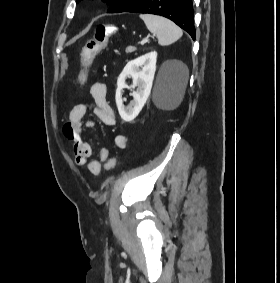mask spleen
I'll return each mask as SVG.
<instances>
[{"mask_svg":"<svg viewBox=\"0 0 280 283\" xmlns=\"http://www.w3.org/2000/svg\"><path fill=\"white\" fill-rule=\"evenodd\" d=\"M140 18L144 21L147 29L151 33L156 34L158 43L161 46L170 45L179 40L183 35L182 30L167 18L151 14H141ZM188 76V69L184 66V76L181 83L182 89L186 87Z\"/></svg>","mask_w":280,"mask_h":283,"instance_id":"spleen-1","label":"spleen"}]
</instances>
